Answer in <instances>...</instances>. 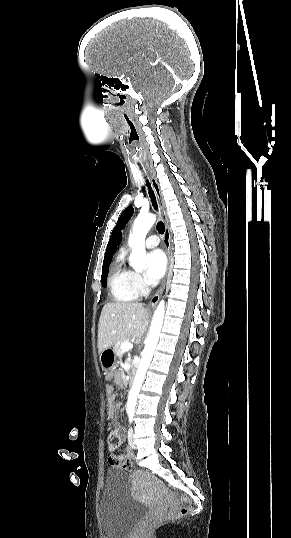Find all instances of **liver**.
Returning <instances> with one entry per match:
<instances>
[{
  "label": "liver",
  "mask_w": 291,
  "mask_h": 538,
  "mask_svg": "<svg viewBox=\"0 0 291 538\" xmlns=\"http://www.w3.org/2000/svg\"><path fill=\"white\" fill-rule=\"evenodd\" d=\"M149 313L138 302H109L104 305L98 324L99 354L119 340L140 338L148 326Z\"/></svg>",
  "instance_id": "liver-1"
}]
</instances>
